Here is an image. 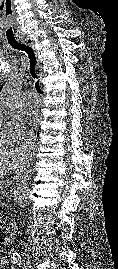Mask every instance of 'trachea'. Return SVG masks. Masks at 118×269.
I'll return each instance as SVG.
<instances>
[{
  "mask_svg": "<svg viewBox=\"0 0 118 269\" xmlns=\"http://www.w3.org/2000/svg\"><path fill=\"white\" fill-rule=\"evenodd\" d=\"M8 42L14 49L25 51L27 53L29 60H30V74L34 79L37 78L36 58H35V54H34L32 48L24 43H20V42L16 41V39H8ZM35 88H36L38 93H40V94L43 93L41 90L39 81H37L35 83Z\"/></svg>",
  "mask_w": 118,
  "mask_h": 269,
  "instance_id": "1",
  "label": "trachea"
}]
</instances>
